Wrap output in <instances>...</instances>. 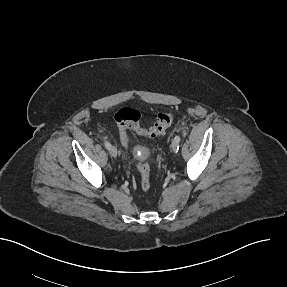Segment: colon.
<instances>
[{"label": "colon", "mask_w": 287, "mask_h": 287, "mask_svg": "<svg viewBox=\"0 0 287 287\" xmlns=\"http://www.w3.org/2000/svg\"><path fill=\"white\" fill-rule=\"evenodd\" d=\"M114 120L118 127L122 144L128 147L130 144L128 131L148 138L160 136L172 124L173 115L169 112L158 113L155 122L149 127H144L141 125V114L139 111L130 107H123L115 113ZM136 168L140 174L139 186L143 191H148L151 187L149 165L141 161L136 163Z\"/></svg>", "instance_id": "5ec220e1"}]
</instances>
